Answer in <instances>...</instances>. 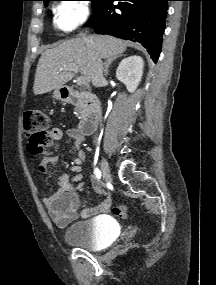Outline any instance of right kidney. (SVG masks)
I'll return each instance as SVG.
<instances>
[{"label":"right kidney","mask_w":216,"mask_h":285,"mask_svg":"<svg viewBox=\"0 0 216 285\" xmlns=\"http://www.w3.org/2000/svg\"><path fill=\"white\" fill-rule=\"evenodd\" d=\"M144 61L142 57L133 55L123 59L117 70L116 77L126 85L127 90L133 93L138 87L143 74Z\"/></svg>","instance_id":"right-kidney-1"}]
</instances>
